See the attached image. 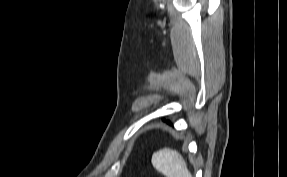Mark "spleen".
I'll return each instance as SVG.
<instances>
[{"instance_id": "3e777b00", "label": "spleen", "mask_w": 287, "mask_h": 177, "mask_svg": "<svg viewBox=\"0 0 287 177\" xmlns=\"http://www.w3.org/2000/svg\"><path fill=\"white\" fill-rule=\"evenodd\" d=\"M152 165L166 177H192L183 157L170 148H163L153 153Z\"/></svg>"}]
</instances>
